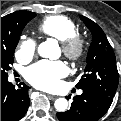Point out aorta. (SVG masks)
Segmentation results:
<instances>
[{
	"label": "aorta",
	"instance_id": "obj_1",
	"mask_svg": "<svg viewBox=\"0 0 121 121\" xmlns=\"http://www.w3.org/2000/svg\"><path fill=\"white\" fill-rule=\"evenodd\" d=\"M38 53L43 58L57 59L59 57L58 43L54 39H48L38 46ZM55 109L64 112L68 108V101L65 98H58L54 103Z\"/></svg>",
	"mask_w": 121,
	"mask_h": 121
}]
</instances>
